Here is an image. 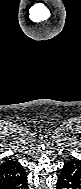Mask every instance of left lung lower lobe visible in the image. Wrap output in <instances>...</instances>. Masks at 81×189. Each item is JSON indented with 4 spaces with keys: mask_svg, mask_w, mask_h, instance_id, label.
Returning <instances> with one entry per match:
<instances>
[{
    "mask_svg": "<svg viewBox=\"0 0 81 189\" xmlns=\"http://www.w3.org/2000/svg\"><path fill=\"white\" fill-rule=\"evenodd\" d=\"M57 189H81V161L65 162L56 184Z\"/></svg>",
    "mask_w": 81,
    "mask_h": 189,
    "instance_id": "0a47b994",
    "label": "left lung lower lobe"
}]
</instances>
